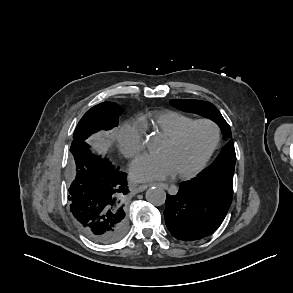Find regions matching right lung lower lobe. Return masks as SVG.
Returning <instances> with one entry per match:
<instances>
[{
    "label": "right lung lower lobe",
    "instance_id": "obj_1",
    "mask_svg": "<svg viewBox=\"0 0 293 293\" xmlns=\"http://www.w3.org/2000/svg\"><path fill=\"white\" fill-rule=\"evenodd\" d=\"M70 151L75 171L68 197L78 226L95 242L119 241L128 229L124 211L128 192L126 174L108 159L93 155L85 141H73Z\"/></svg>",
    "mask_w": 293,
    "mask_h": 293
}]
</instances>
